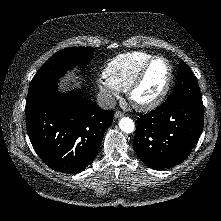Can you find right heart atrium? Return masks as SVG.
<instances>
[{"label": "right heart atrium", "mask_w": 221, "mask_h": 221, "mask_svg": "<svg viewBox=\"0 0 221 221\" xmlns=\"http://www.w3.org/2000/svg\"><path fill=\"white\" fill-rule=\"evenodd\" d=\"M97 84L104 98L108 102H111L113 99L119 97V90L110 82H108L105 78H100Z\"/></svg>", "instance_id": "1"}]
</instances>
